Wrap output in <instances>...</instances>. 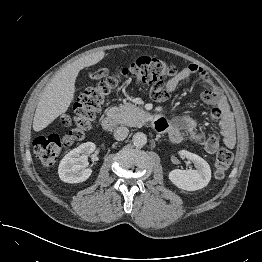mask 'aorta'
Returning a JSON list of instances; mask_svg holds the SVG:
<instances>
[{
	"label": "aorta",
	"instance_id": "1",
	"mask_svg": "<svg viewBox=\"0 0 262 262\" xmlns=\"http://www.w3.org/2000/svg\"><path fill=\"white\" fill-rule=\"evenodd\" d=\"M133 144L136 147H143L147 143V136L142 132H137L132 138Z\"/></svg>",
	"mask_w": 262,
	"mask_h": 262
}]
</instances>
